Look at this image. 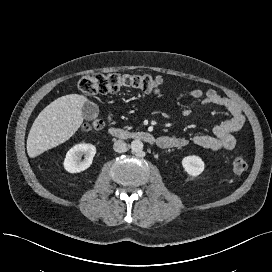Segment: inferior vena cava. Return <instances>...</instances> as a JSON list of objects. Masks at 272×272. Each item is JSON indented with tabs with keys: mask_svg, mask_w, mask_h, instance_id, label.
I'll return each instance as SVG.
<instances>
[{
	"mask_svg": "<svg viewBox=\"0 0 272 272\" xmlns=\"http://www.w3.org/2000/svg\"><path fill=\"white\" fill-rule=\"evenodd\" d=\"M113 149L115 152L123 153L127 150V144L123 140H117L114 142Z\"/></svg>",
	"mask_w": 272,
	"mask_h": 272,
	"instance_id": "602c4592",
	"label": "inferior vena cava"
}]
</instances>
